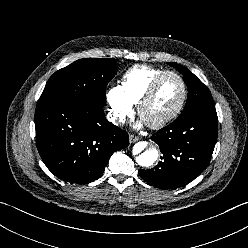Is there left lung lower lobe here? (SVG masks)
Segmentation results:
<instances>
[{"instance_id": "left-lung-lower-lobe-1", "label": "left lung lower lobe", "mask_w": 248, "mask_h": 248, "mask_svg": "<svg viewBox=\"0 0 248 248\" xmlns=\"http://www.w3.org/2000/svg\"><path fill=\"white\" fill-rule=\"evenodd\" d=\"M216 110L176 119L151 139L163 154L158 165L139 170L143 180L160 189L185 186L208 166L217 140Z\"/></svg>"}]
</instances>
